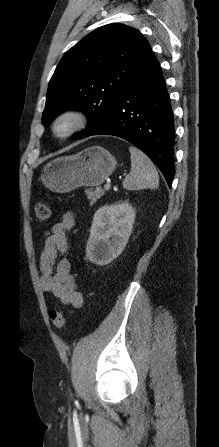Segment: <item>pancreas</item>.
<instances>
[{
	"instance_id": "cf45deb5",
	"label": "pancreas",
	"mask_w": 219,
	"mask_h": 447,
	"mask_svg": "<svg viewBox=\"0 0 219 447\" xmlns=\"http://www.w3.org/2000/svg\"><path fill=\"white\" fill-rule=\"evenodd\" d=\"M85 192L91 203H96V201L105 194V190L101 187H97L94 191L92 189H87Z\"/></svg>"
}]
</instances>
